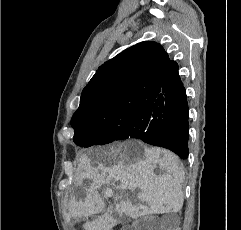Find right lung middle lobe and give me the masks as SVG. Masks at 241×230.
Returning a JSON list of instances; mask_svg holds the SVG:
<instances>
[{"mask_svg": "<svg viewBox=\"0 0 241 230\" xmlns=\"http://www.w3.org/2000/svg\"><path fill=\"white\" fill-rule=\"evenodd\" d=\"M151 103L112 110L107 118L101 121H82L74 127L73 141L81 147H90L127 139L130 133L145 131L150 122V119L144 116L145 108Z\"/></svg>", "mask_w": 241, "mask_h": 230, "instance_id": "1", "label": "right lung middle lobe"}]
</instances>
